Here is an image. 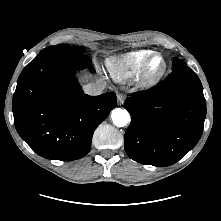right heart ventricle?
Listing matches in <instances>:
<instances>
[{"instance_id":"e07e8e85","label":"right heart ventricle","mask_w":221,"mask_h":221,"mask_svg":"<svg viewBox=\"0 0 221 221\" xmlns=\"http://www.w3.org/2000/svg\"><path fill=\"white\" fill-rule=\"evenodd\" d=\"M151 53L153 52L148 49H138L111 56L107 59L106 66L115 80L124 82L141 73Z\"/></svg>"}]
</instances>
